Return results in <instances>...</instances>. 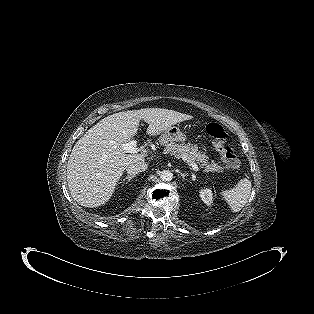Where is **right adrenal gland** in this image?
<instances>
[{
  "label": "right adrenal gland",
  "instance_id": "2a0ac1e0",
  "mask_svg": "<svg viewBox=\"0 0 314 314\" xmlns=\"http://www.w3.org/2000/svg\"><path fill=\"white\" fill-rule=\"evenodd\" d=\"M135 177V175H128V176H126L124 179H123V182L124 181H127L126 183H128V182H130V180L132 179V178H134Z\"/></svg>",
  "mask_w": 314,
  "mask_h": 314
}]
</instances>
